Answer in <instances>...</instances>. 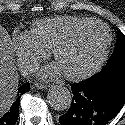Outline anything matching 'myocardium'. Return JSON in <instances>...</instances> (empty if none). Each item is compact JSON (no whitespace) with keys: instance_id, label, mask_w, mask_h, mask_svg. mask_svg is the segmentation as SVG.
<instances>
[{"instance_id":"1","label":"myocardium","mask_w":125,"mask_h":125,"mask_svg":"<svg viewBox=\"0 0 125 125\" xmlns=\"http://www.w3.org/2000/svg\"><path fill=\"white\" fill-rule=\"evenodd\" d=\"M94 24L101 25L106 31L107 38H106V43H105L104 49H103L100 57L98 58V60L93 65H91L89 68H87L86 70L81 71L76 74L64 73L65 77L69 80L79 81V80L86 79V78L92 76L93 74H95L96 72H98L103 67V65L106 63V61L108 59L112 41H113V35L111 32V29L109 28V26L106 23H104L101 20L88 19V20H85V21L79 23L78 25L74 26L67 33H65L63 36H61L54 43V45L51 49V55L56 60L58 53L62 47L67 45L81 29H83L87 26H90V25H94Z\"/></svg>"}]
</instances>
